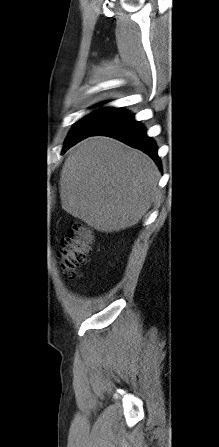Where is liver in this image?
<instances>
[{
  "label": "liver",
  "instance_id": "6515ba94",
  "mask_svg": "<svg viewBox=\"0 0 219 447\" xmlns=\"http://www.w3.org/2000/svg\"><path fill=\"white\" fill-rule=\"evenodd\" d=\"M160 173L142 151L103 136L70 149L60 178L62 208L97 231L137 224L158 200Z\"/></svg>",
  "mask_w": 219,
  "mask_h": 447
}]
</instances>
